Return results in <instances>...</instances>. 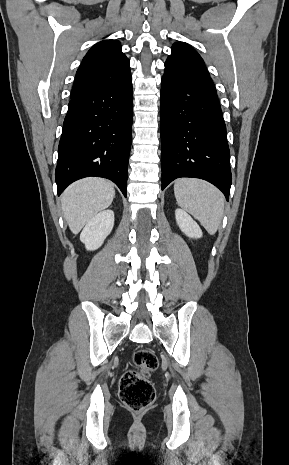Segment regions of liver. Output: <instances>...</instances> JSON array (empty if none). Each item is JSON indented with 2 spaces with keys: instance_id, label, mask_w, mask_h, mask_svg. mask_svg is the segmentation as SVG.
<instances>
[{
  "instance_id": "1",
  "label": "liver",
  "mask_w": 289,
  "mask_h": 465,
  "mask_svg": "<svg viewBox=\"0 0 289 465\" xmlns=\"http://www.w3.org/2000/svg\"><path fill=\"white\" fill-rule=\"evenodd\" d=\"M114 185L101 178H86L70 185L61 196L63 216L73 234H78L96 214L109 207Z\"/></svg>"
}]
</instances>
